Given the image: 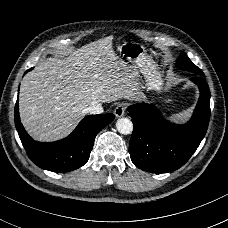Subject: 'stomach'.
<instances>
[{"instance_id": "0dacf381", "label": "stomach", "mask_w": 228, "mask_h": 228, "mask_svg": "<svg viewBox=\"0 0 228 228\" xmlns=\"http://www.w3.org/2000/svg\"><path fill=\"white\" fill-rule=\"evenodd\" d=\"M118 50L121 55L127 59V63L134 68L141 70L145 75V84L152 89L160 90L163 81L154 68L148 67L151 59L147 55L146 49L142 44L134 42H125L119 45Z\"/></svg>"}]
</instances>
